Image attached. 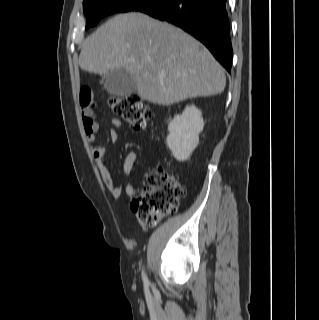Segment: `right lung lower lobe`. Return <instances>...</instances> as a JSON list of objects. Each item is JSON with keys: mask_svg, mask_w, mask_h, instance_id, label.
Listing matches in <instances>:
<instances>
[{"mask_svg": "<svg viewBox=\"0 0 319 320\" xmlns=\"http://www.w3.org/2000/svg\"><path fill=\"white\" fill-rule=\"evenodd\" d=\"M227 0H159L141 7L140 12L166 20L201 41L229 72L232 44Z\"/></svg>", "mask_w": 319, "mask_h": 320, "instance_id": "obj_1", "label": "right lung lower lobe"}]
</instances>
